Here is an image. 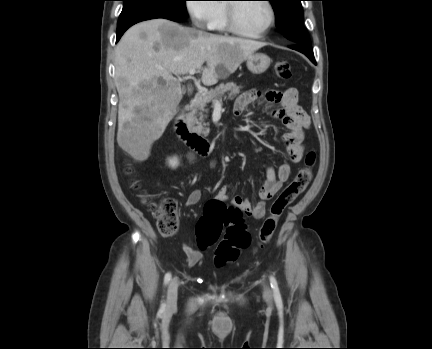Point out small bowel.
<instances>
[{
    "label": "small bowel",
    "instance_id": "1",
    "mask_svg": "<svg viewBox=\"0 0 432 349\" xmlns=\"http://www.w3.org/2000/svg\"><path fill=\"white\" fill-rule=\"evenodd\" d=\"M258 99H263L269 104L278 106L277 108L269 107L266 112L270 116L280 119L288 130L282 136V143L289 161L291 163L300 162L304 155V130L309 128L311 120L307 112L298 104V90L296 88H288L285 91L267 90L264 92L255 89L248 90L237 98L234 106L235 113L237 115L243 113L248 105ZM215 164L216 161L212 160L210 167H214ZM290 175L291 167L288 163L279 165L277 169L269 167L258 191L259 200L253 204L247 199L235 196L232 199L233 205L239 207L246 217L263 218L266 213V202L274 197ZM228 195V187L222 186L215 195L214 200L225 202ZM201 198L202 193L199 189L192 190L186 199V207L198 204ZM183 252L190 267L198 264L203 258L200 251L187 244L183 246Z\"/></svg>",
    "mask_w": 432,
    "mask_h": 349
}]
</instances>
